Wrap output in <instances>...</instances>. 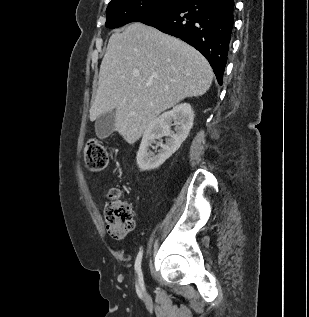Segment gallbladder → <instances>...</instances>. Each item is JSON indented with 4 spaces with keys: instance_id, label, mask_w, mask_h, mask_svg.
<instances>
[{
    "instance_id": "gallbladder-1",
    "label": "gallbladder",
    "mask_w": 309,
    "mask_h": 317,
    "mask_svg": "<svg viewBox=\"0 0 309 317\" xmlns=\"http://www.w3.org/2000/svg\"><path fill=\"white\" fill-rule=\"evenodd\" d=\"M115 111H109L98 116L95 122V132L98 138H107L114 130Z\"/></svg>"
}]
</instances>
